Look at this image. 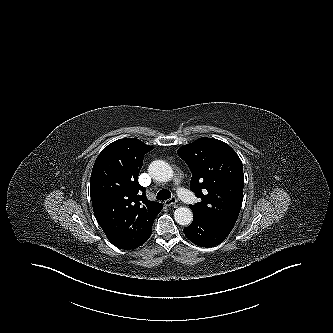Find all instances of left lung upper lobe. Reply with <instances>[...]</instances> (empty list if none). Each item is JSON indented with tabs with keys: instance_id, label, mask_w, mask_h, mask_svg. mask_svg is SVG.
Wrapping results in <instances>:
<instances>
[{
	"instance_id": "obj_1",
	"label": "left lung upper lobe",
	"mask_w": 333,
	"mask_h": 333,
	"mask_svg": "<svg viewBox=\"0 0 333 333\" xmlns=\"http://www.w3.org/2000/svg\"><path fill=\"white\" fill-rule=\"evenodd\" d=\"M192 172L190 188L201 202L190 205L210 219L233 228L243 201L242 162L225 142L199 138L177 151Z\"/></svg>"
}]
</instances>
